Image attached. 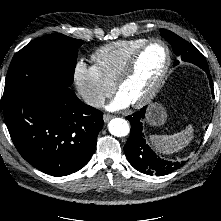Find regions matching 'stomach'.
Listing matches in <instances>:
<instances>
[{
	"instance_id": "0dacf381",
	"label": "stomach",
	"mask_w": 221,
	"mask_h": 221,
	"mask_svg": "<svg viewBox=\"0 0 221 221\" xmlns=\"http://www.w3.org/2000/svg\"><path fill=\"white\" fill-rule=\"evenodd\" d=\"M167 113L165 108L159 103H152L146 115V122L152 126H160L165 123Z\"/></svg>"
}]
</instances>
